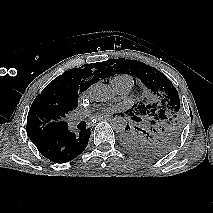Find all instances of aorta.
Returning a JSON list of instances; mask_svg holds the SVG:
<instances>
[{
  "label": "aorta",
  "instance_id": "obj_1",
  "mask_svg": "<svg viewBox=\"0 0 213 213\" xmlns=\"http://www.w3.org/2000/svg\"><path fill=\"white\" fill-rule=\"evenodd\" d=\"M89 96L96 102H105L112 96V91L109 86L103 83H94L88 89ZM127 122L123 117H116L113 120L112 127L118 132L125 131Z\"/></svg>",
  "mask_w": 213,
  "mask_h": 213
}]
</instances>
